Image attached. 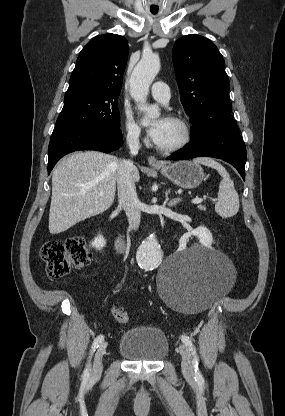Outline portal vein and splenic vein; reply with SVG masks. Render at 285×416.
I'll list each match as a JSON object with an SVG mask.
<instances>
[{
  "label": "portal vein and splenic vein",
  "instance_id": "1",
  "mask_svg": "<svg viewBox=\"0 0 285 416\" xmlns=\"http://www.w3.org/2000/svg\"><path fill=\"white\" fill-rule=\"evenodd\" d=\"M100 196H103V194H100ZM201 202H203L202 198H194L192 200V204H201Z\"/></svg>",
  "mask_w": 285,
  "mask_h": 416
}]
</instances>
